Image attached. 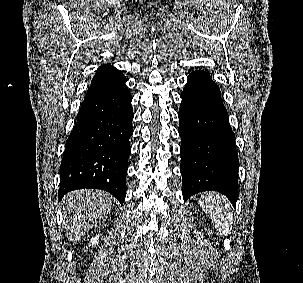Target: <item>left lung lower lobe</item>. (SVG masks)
<instances>
[{
  "mask_svg": "<svg viewBox=\"0 0 303 283\" xmlns=\"http://www.w3.org/2000/svg\"><path fill=\"white\" fill-rule=\"evenodd\" d=\"M178 112L183 198L217 191L238 199V155L218 86L204 70L193 71Z\"/></svg>",
  "mask_w": 303,
  "mask_h": 283,
  "instance_id": "1",
  "label": "left lung lower lobe"
}]
</instances>
